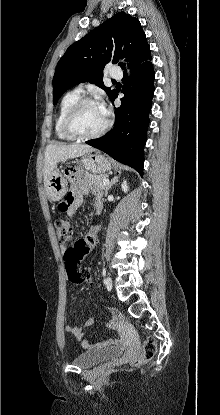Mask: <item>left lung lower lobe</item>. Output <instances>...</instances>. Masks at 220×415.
Wrapping results in <instances>:
<instances>
[{"label": "left lung lower lobe", "instance_id": "0a47b994", "mask_svg": "<svg viewBox=\"0 0 220 415\" xmlns=\"http://www.w3.org/2000/svg\"><path fill=\"white\" fill-rule=\"evenodd\" d=\"M133 66L131 77L124 71L121 106L115 108L111 132L86 143L104 151L115 160L131 166L143 176V148L146 143L149 112L152 107L155 73L149 61ZM117 92L110 98L114 102Z\"/></svg>", "mask_w": 220, "mask_h": 415}]
</instances>
